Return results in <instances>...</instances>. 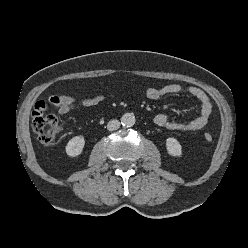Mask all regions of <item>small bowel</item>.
Returning <instances> with one entry per match:
<instances>
[{
  "label": "small bowel",
  "mask_w": 248,
  "mask_h": 248,
  "mask_svg": "<svg viewBox=\"0 0 248 248\" xmlns=\"http://www.w3.org/2000/svg\"><path fill=\"white\" fill-rule=\"evenodd\" d=\"M180 93H187L200 102V115L188 122H177L165 114H157L154 117L155 124L172 131H195L205 127L211 117L212 102L202 89L195 86L168 84L160 88L149 87L145 91L146 97L150 100H158L165 96ZM103 99L104 96L102 94L81 100L66 94L52 95L49 97L48 103L42 100L35 103L32 116L33 118L43 116L49 109V106L55 108L60 115H66L74 109L96 106L100 104Z\"/></svg>",
  "instance_id": "obj_1"
}]
</instances>
